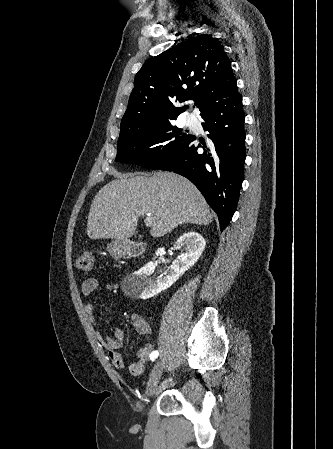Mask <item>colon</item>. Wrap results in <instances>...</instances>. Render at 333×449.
I'll return each mask as SVG.
<instances>
[{
	"label": "colon",
	"mask_w": 333,
	"mask_h": 449,
	"mask_svg": "<svg viewBox=\"0 0 333 449\" xmlns=\"http://www.w3.org/2000/svg\"><path fill=\"white\" fill-rule=\"evenodd\" d=\"M94 260V251L86 250L76 258V267L83 272H89L93 268Z\"/></svg>",
	"instance_id": "colon-1"
}]
</instances>
